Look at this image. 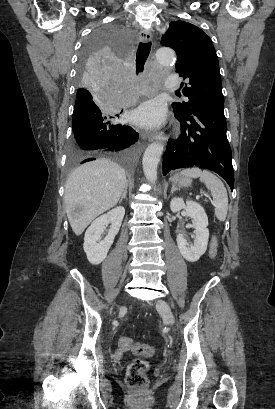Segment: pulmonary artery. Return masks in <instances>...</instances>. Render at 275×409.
Here are the masks:
<instances>
[{
  "mask_svg": "<svg viewBox=\"0 0 275 409\" xmlns=\"http://www.w3.org/2000/svg\"><path fill=\"white\" fill-rule=\"evenodd\" d=\"M179 76L177 73H172L170 79L166 80L167 88H178L179 87Z\"/></svg>",
  "mask_w": 275,
  "mask_h": 409,
  "instance_id": "obj_1",
  "label": "pulmonary artery"
}]
</instances>
